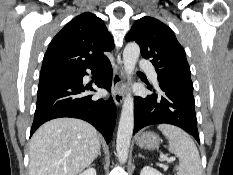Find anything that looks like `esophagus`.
I'll return each mask as SVG.
<instances>
[{
  "label": "esophagus",
  "mask_w": 233,
  "mask_h": 175,
  "mask_svg": "<svg viewBox=\"0 0 233 175\" xmlns=\"http://www.w3.org/2000/svg\"><path fill=\"white\" fill-rule=\"evenodd\" d=\"M114 71L112 79V96L117 106H120L124 100V94L122 91V85L124 81V70L119 52L114 56Z\"/></svg>",
  "instance_id": "1"
}]
</instances>
